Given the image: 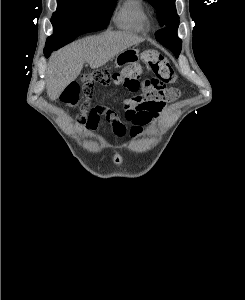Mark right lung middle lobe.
I'll return each mask as SVG.
<instances>
[{"mask_svg":"<svg viewBox=\"0 0 245 300\" xmlns=\"http://www.w3.org/2000/svg\"><path fill=\"white\" fill-rule=\"evenodd\" d=\"M58 7L51 18L53 35L47 38L45 49L57 50L82 34L85 21L98 20L108 25L116 0H57Z\"/></svg>","mask_w":245,"mask_h":300,"instance_id":"obj_1","label":"right lung middle lobe"}]
</instances>
